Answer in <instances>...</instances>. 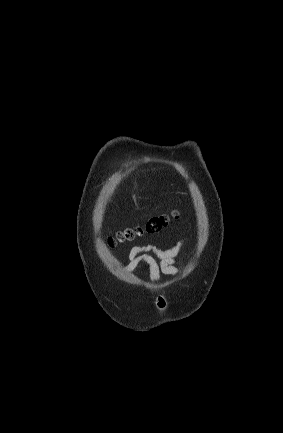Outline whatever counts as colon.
<instances>
[{"label": "colon", "mask_w": 283, "mask_h": 433, "mask_svg": "<svg viewBox=\"0 0 283 433\" xmlns=\"http://www.w3.org/2000/svg\"><path fill=\"white\" fill-rule=\"evenodd\" d=\"M169 222V218L166 215L156 216L150 218L142 227L126 229L117 235L116 238L110 239V245H115L117 242H123L131 240L135 236L142 234L143 232L153 233L161 230Z\"/></svg>", "instance_id": "1"}]
</instances>
